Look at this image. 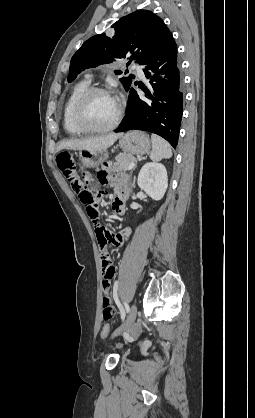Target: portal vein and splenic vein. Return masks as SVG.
Segmentation results:
<instances>
[{"label":"portal vein and splenic vein","mask_w":255,"mask_h":418,"mask_svg":"<svg viewBox=\"0 0 255 418\" xmlns=\"http://www.w3.org/2000/svg\"><path fill=\"white\" fill-rule=\"evenodd\" d=\"M135 167V163H131L129 166H128V170H131L132 168H134Z\"/></svg>","instance_id":"18ae733b"}]
</instances>
